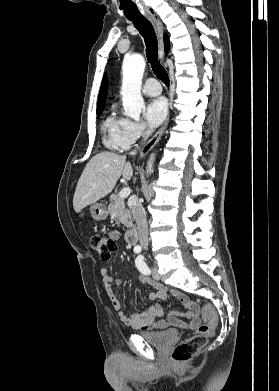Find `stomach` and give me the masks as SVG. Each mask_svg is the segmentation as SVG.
I'll use <instances>...</instances> for the list:
<instances>
[{
    "label": "stomach",
    "mask_w": 279,
    "mask_h": 391,
    "mask_svg": "<svg viewBox=\"0 0 279 391\" xmlns=\"http://www.w3.org/2000/svg\"><path fill=\"white\" fill-rule=\"evenodd\" d=\"M90 213H91L92 218L96 221L104 220L108 216V212L106 210L105 205H103L101 203L92 204L90 206ZM79 215H80V217H83L84 213L80 211Z\"/></svg>",
    "instance_id": "0dacf381"
}]
</instances>
